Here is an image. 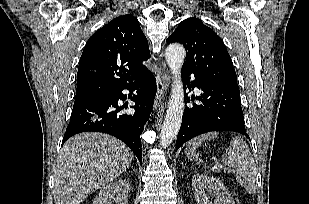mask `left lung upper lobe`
Returning <instances> with one entry per match:
<instances>
[{
	"label": "left lung upper lobe",
	"instance_id": "1",
	"mask_svg": "<svg viewBox=\"0 0 309 204\" xmlns=\"http://www.w3.org/2000/svg\"><path fill=\"white\" fill-rule=\"evenodd\" d=\"M186 49L183 70L200 72L211 78L237 84L232 60L221 38L197 18H188L167 39Z\"/></svg>",
	"mask_w": 309,
	"mask_h": 204
}]
</instances>
